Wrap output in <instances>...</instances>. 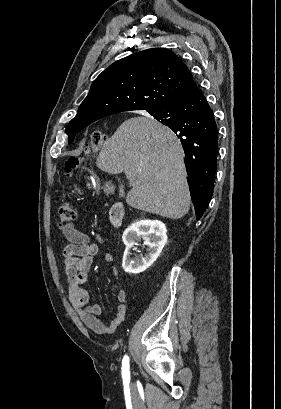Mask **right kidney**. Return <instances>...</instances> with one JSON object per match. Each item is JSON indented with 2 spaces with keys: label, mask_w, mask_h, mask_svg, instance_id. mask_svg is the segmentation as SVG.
<instances>
[{
  "label": "right kidney",
  "mask_w": 281,
  "mask_h": 409,
  "mask_svg": "<svg viewBox=\"0 0 281 409\" xmlns=\"http://www.w3.org/2000/svg\"><path fill=\"white\" fill-rule=\"evenodd\" d=\"M166 233L167 229L162 221L142 219V221H135L129 225L122 235V241L126 245L122 261L124 271L129 275H138L151 267L167 243ZM140 241H144V245H147V255L131 257L132 247L138 245Z\"/></svg>",
  "instance_id": "obj_1"
}]
</instances>
